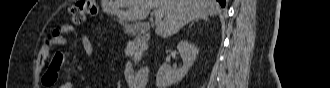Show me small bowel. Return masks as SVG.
<instances>
[{
  "label": "small bowel",
  "mask_w": 330,
  "mask_h": 88,
  "mask_svg": "<svg viewBox=\"0 0 330 88\" xmlns=\"http://www.w3.org/2000/svg\"><path fill=\"white\" fill-rule=\"evenodd\" d=\"M76 32V29L73 25L71 24H64L60 27L59 29V34L53 36L49 40H47L43 47L40 49L38 53V58H37V68L41 70L44 65L45 61L49 55V51L51 47L56 46V45H65L68 42V35L73 34ZM79 40L87 54L88 57L93 58L95 55L94 47L91 42V40L83 34L79 35ZM67 59V54L66 53H60L56 55L54 58V63H51V65L48 67V69L43 72L40 75L39 81L42 85L44 86H50L56 83L58 79V72L61 67V65L66 61ZM62 88H71L72 84L71 83H65L61 86Z\"/></svg>",
  "instance_id": "small-bowel-1"
}]
</instances>
